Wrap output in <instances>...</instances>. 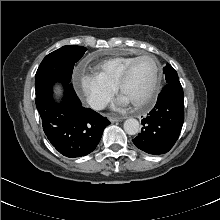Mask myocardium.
<instances>
[{
	"mask_svg": "<svg viewBox=\"0 0 220 220\" xmlns=\"http://www.w3.org/2000/svg\"><path fill=\"white\" fill-rule=\"evenodd\" d=\"M147 57L152 58L155 63V76H154L153 83H152L147 95L140 101L131 102V104L133 106L138 107V108L143 107V106L147 105L148 103H150L158 91V88H159V85L161 82V64H160L159 60L157 59V57L153 54L146 53V54H142V55H139L136 58H134L125 68V70L122 73L121 78L118 82V85H117L119 93L122 94L123 89L131 76V73H132V70H133L135 64L138 61H140L144 58H147Z\"/></svg>",
	"mask_w": 220,
	"mask_h": 220,
	"instance_id": "f54148a6",
	"label": "myocardium"
}]
</instances>
